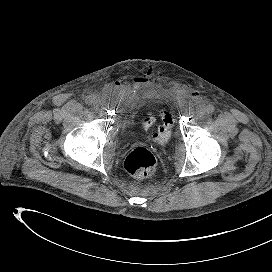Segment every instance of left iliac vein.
<instances>
[{"mask_svg": "<svg viewBox=\"0 0 272 272\" xmlns=\"http://www.w3.org/2000/svg\"><path fill=\"white\" fill-rule=\"evenodd\" d=\"M207 112V109L204 105H199L196 108L197 117H202Z\"/></svg>", "mask_w": 272, "mask_h": 272, "instance_id": "obj_1", "label": "left iliac vein"}]
</instances>
